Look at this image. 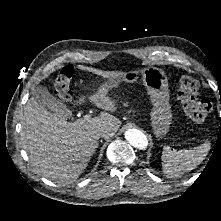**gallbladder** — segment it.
<instances>
[{"label": "gallbladder", "mask_w": 221, "mask_h": 221, "mask_svg": "<svg viewBox=\"0 0 221 221\" xmlns=\"http://www.w3.org/2000/svg\"><path fill=\"white\" fill-rule=\"evenodd\" d=\"M32 95L40 105L50 109L51 111L61 114L65 117L71 116V112L67 109L66 105L55 96L50 94L46 87H35L32 91Z\"/></svg>", "instance_id": "bac80fb5"}]
</instances>
